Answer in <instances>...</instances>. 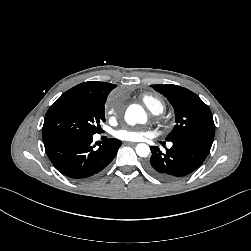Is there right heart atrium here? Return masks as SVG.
Wrapping results in <instances>:
<instances>
[{
    "mask_svg": "<svg viewBox=\"0 0 251 251\" xmlns=\"http://www.w3.org/2000/svg\"><path fill=\"white\" fill-rule=\"evenodd\" d=\"M118 112V107L114 103H110L106 107V113L109 116H114Z\"/></svg>",
    "mask_w": 251,
    "mask_h": 251,
    "instance_id": "d8ad5b80",
    "label": "right heart atrium"
}]
</instances>
